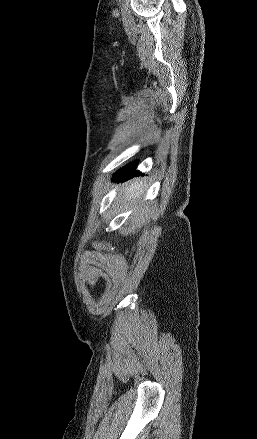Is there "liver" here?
<instances>
[{
    "label": "liver",
    "mask_w": 257,
    "mask_h": 439,
    "mask_svg": "<svg viewBox=\"0 0 257 439\" xmlns=\"http://www.w3.org/2000/svg\"><path fill=\"white\" fill-rule=\"evenodd\" d=\"M144 191L145 184L143 183V181L135 180L130 186L125 187V200H129L131 201V203H135L137 200L140 199Z\"/></svg>",
    "instance_id": "obj_1"
}]
</instances>
